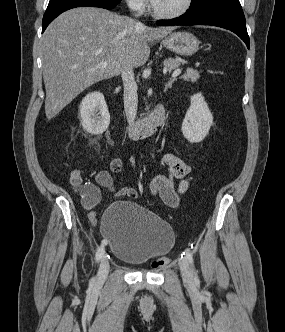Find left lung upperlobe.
Wrapping results in <instances>:
<instances>
[{
	"instance_id": "left-lung-upper-lobe-1",
	"label": "left lung upper lobe",
	"mask_w": 285,
	"mask_h": 332,
	"mask_svg": "<svg viewBox=\"0 0 285 332\" xmlns=\"http://www.w3.org/2000/svg\"><path fill=\"white\" fill-rule=\"evenodd\" d=\"M224 2H238V0H192L189 11L200 10L208 6Z\"/></svg>"
}]
</instances>
